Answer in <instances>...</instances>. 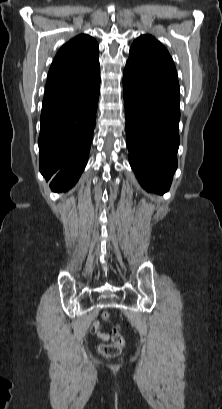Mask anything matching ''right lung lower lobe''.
<instances>
[{
  "label": "right lung lower lobe",
  "mask_w": 222,
  "mask_h": 409,
  "mask_svg": "<svg viewBox=\"0 0 222 409\" xmlns=\"http://www.w3.org/2000/svg\"><path fill=\"white\" fill-rule=\"evenodd\" d=\"M100 90V71L87 78L76 93L44 98L38 139L40 172L54 192L71 188L89 155Z\"/></svg>",
  "instance_id": "98d812e1"
}]
</instances>
